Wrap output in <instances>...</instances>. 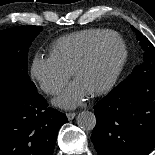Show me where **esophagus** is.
<instances>
[{"label":"esophagus","instance_id":"esophagus-1","mask_svg":"<svg viewBox=\"0 0 155 155\" xmlns=\"http://www.w3.org/2000/svg\"><path fill=\"white\" fill-rule=\"evenodd\" d=\"M66 116H67L68 120H72L75 118L76 113L75 112H69V113H66Z\"/></svg>","mask_w":155,"mask_h":155}]
</instances>
